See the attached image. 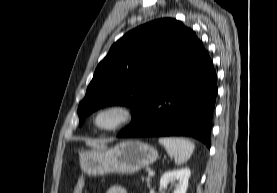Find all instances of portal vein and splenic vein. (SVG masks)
<instances>
[{
	"mask_svg": "<svg viewBox=\"0 0 277 193\" xmlns=\"http://www.w3.org/2000/svg\"><path fill=\"white\" fill-rule=\"evenodd\" d=\"M154 175H155V172H154V171L151 170V171L148 172V176H149V177H152V176H154Z\"/></svg>",
	"mask_w": 277,
	"mask_h": 193,
	"instance_id": "obj_1",
	"label": "portal vein and splenic vein"
}]
</instances>
